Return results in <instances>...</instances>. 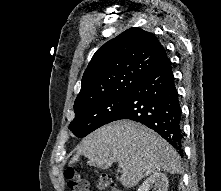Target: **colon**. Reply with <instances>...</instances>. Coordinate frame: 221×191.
<instances>
[{"label":"colon","instance_id":"obj_1","mask_svg":"<svg viewBox=\"0 0 221 191\" xmlns=\"http://www.w3.org/2000/svg\"><path fill=\"white\" fill-rule=\"evenodd\" d=\"M65 176L70 191H91L88 181L76 173L73 168H68L65 172ZM98 185L100 188L105 189L113 185V180L107 174H100L98 176Z\"/></svg>","mask_w":221,"mask_h":191}]
</instances>
